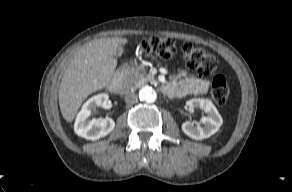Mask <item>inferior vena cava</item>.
Wrapping results in <instances>:
<instances>
[{
    "label": "inferior vena cava",
    "instance_id": "inferior-vena-cava-1",
    "mask_svg": "<svg viewBox=\"0 0 292 192\" xmlns=\"http://www.w3.org/2000/svg\"><path fill=\"white\" fill-rule=\"evenodd\" d=\"M125 102L130 105L137 103L138 102L137 94L132 91L127 92L125 94Z\"/></svg>",
    "mask_w": 292,
    "mask_h": 192
}]
</instances>
